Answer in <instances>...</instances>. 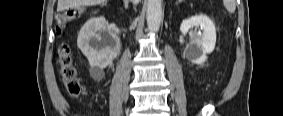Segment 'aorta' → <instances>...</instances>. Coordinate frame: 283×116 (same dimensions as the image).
Masks as SVG:
<instances>
[{
	"mask_svg": "<svg viewBox=\"0 0 283 116\" xmlns=\"http://www.w3.org/2000/svg\"><path fill=\"white\" fill-rule=\"evenodd\" d=\"M162 16V1L147 0L146 18L150 32L156 33L159 31Z\"/></svg>",
	"mask_w": 283,
	"mask_h": 116,
	"instance_id": "762f6f07",
	"label": "aorta"
}]
</instances>
